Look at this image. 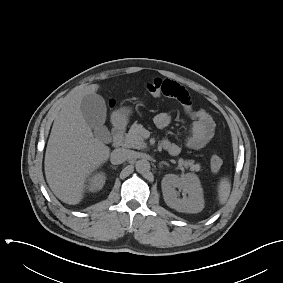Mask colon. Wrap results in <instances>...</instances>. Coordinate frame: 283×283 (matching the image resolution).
<instances>
[{"label":"colon","mask_w":283,"mask_h":283,"mask_svg":"<svg viewBox=\"0 0 283 283\" xmlns=\"http://www.w3.org/2000/svg\"><path fill=\"white\" fill-rule=\"evenodd\" d=\"M146 91L155 97L162 95V80L154 79L148 82L145 86ZM223 164V160L219 155H213L210 160V166L213 172L220 171Z\"/></svg>","instance_id":"colon-1"}]
</instances>
